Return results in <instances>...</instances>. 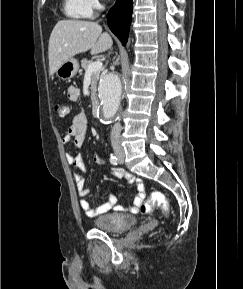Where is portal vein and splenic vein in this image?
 Here are the masks:
<instances>
[{
  "label": "portal vein and splenic vein",
  "mask_w": 243,
  "mask_h": 289,
  "mask_svg": "<svg viewBox=\"0 0 243 289\" xmlns=\"http://www.w3.org/2000/svg\"><path fill=\"white\" fill-rule=\"evenodd\" d=\"M102 66H103V63L102 61L100 60H97L93 63H91L89 66H88V69H87V73H93L95 71H98V70H101L102 69Z\"/></svg>",
  "instance_id": "1"
}]
</instances>
